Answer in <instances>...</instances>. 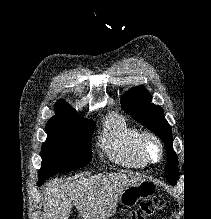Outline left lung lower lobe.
<instances>
[{
  "label": "left lung lower lobe",
  "instance_id": "obj_1",
  "mask_svg": "<svg viewBox=\"0 0 211 219\" xmlns=\"http://www.w3.org/2000/svg\"><path fill=\"white\" fill-rule=\"evenodd\" d=\"M167 157H169L168 159H169L170 161H174V160H177V159H178L177 156L175 155V153L169 154V156H167Z\"/></svg>",
  "mask_w": 211,
  "mask_h": 219
}]
</instances>
